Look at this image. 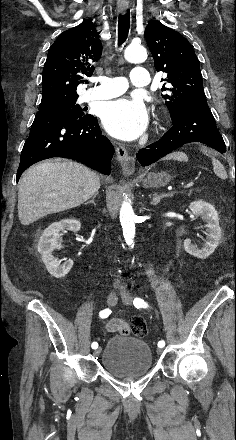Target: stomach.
<instances>
[{
    "label": "stomach",
    "mask_w": 236,
    "mask_h": 440,
    "mask_svg": "<svg viewBox=\"0 0 236 440\" xmlns=\"http://www.w3.org/2000/svg\"><path fill=\"white\" fill-rule=\"evenodd\" d=\"M171 180V176L166 172L149 173L143 180V186L145 188H157L167 185Z\"/></svg>",
    "instance_id": "obj_1"
}]
</instances>
